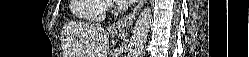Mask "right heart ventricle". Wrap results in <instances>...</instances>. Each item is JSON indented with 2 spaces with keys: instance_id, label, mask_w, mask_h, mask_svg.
Returning <instances> with one entry per match:
<instances>
[{
  "instance_id": "1",
  "label": "right heart ventricle",
  "mask_w": 249,
  "mask_h": 57,
  "mask_svg": "<svg viewBox=\"0 0 249 57\" xmlns=\"http://www.w3.org/2000/svg\"><path fill=\"white\" fill-rule=\"evenodd\" d=\"M71 12L79 19L85 21H99L103 18L107 8L104 0H72Z\"/></svg>"
}]
</instances>
